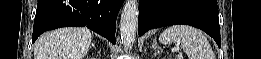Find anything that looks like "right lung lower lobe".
<instances>
[{"label":"right lung lower lobe","instance_id":"1","mask_svg":"<svg viewBox=\"0 0 261 59\" xmlns=\"http://www.w3.org/2000/svg\"><path fill=\"white\" fill-rule=\"evenodd\" d=\"M124 0H39L32 42L43 32L66 26H86L113 44L116 18Z\"/></svg>","mask_w":261,"mask_h":59}]
</instances>
